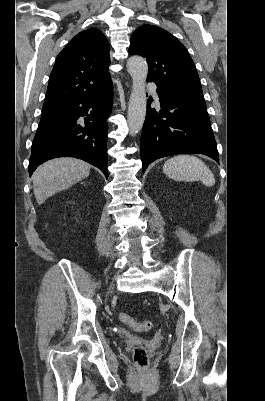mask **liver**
Wrapping results in <instances>:
<instances>
[{
	"mask_svg": "<svg viewBox=\"0 0 265 401\" xmlns=\"http://www.w3.org/2000/svg\"><path fill=\"white\" fill-rule=\"evenodd\" d=\"M89 172L90 164L79 158H53L40 164L32 176L38 205L45 203L55 192L65 190L82 178H87Z\"/></svg>",
	"mask_w": 265,
	"mask_h": 401,
	"instance_id": "1",
	"label": "liver"
}]
</instances>
